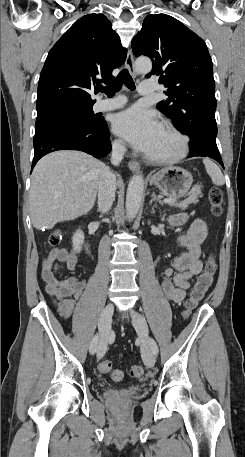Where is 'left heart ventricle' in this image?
Returning <instances> with one entry per match:
<instances>
[{"label": "left heart ventricle", "instance_id": "1", "mask_svg": "<svg viewBox=\"0 0 245 457\" xmlns=\"http://www.w3.org/2000/svg\"><path fill=\"white\" fill-rule=\"evenodd\" d=\"M177 141L162 129L156 142L147 150V153H164L175 149Z\"/></svg>", "mask_w": 245, "mask_h": 457}]
</instances>
